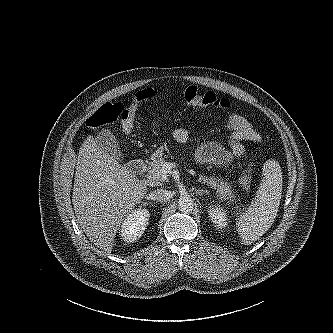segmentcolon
<instances>
[{
  "mask_svg": "<svg viewBox=\"0 0 333 333\" xmlns=\"http://www.w3.org/2000/svg\"><path fill=\"white\" fill-rule=\"evenodd\" d=\"M156 92L152 88L138 91L132 103H106L102 105L87 121V132L97 131L106 127H116L123 133H129L135 124L138 106L155 97ZM183 100L191 106L202 108L227 109L231 102L225 98H218L213 92L201 90L195 86H189L182 91ZM252 165L248 163L241 175V184L245 189L251 185Z\"/></svg>",
  "mask_w": 333,
  "mask_h": 333,
  "instance_id": "1",
  "label": "colon"
}]
</instances>
